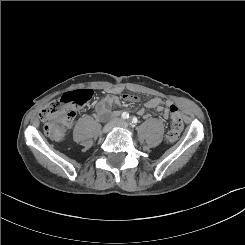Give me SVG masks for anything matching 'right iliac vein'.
<instances>
[{"mask_svg": "<svg viewBox=\"0 0 245 245\" xmlns=\"http://www.w3.org/2000/svg\"><path fill=\"white\" fill-rule=\"evenodd\" d=\"M118 125H119V121H118L117 119H114V120L108 122V123L104 126L102 132H103V133H108L113 127L118 126Z\"/></svg>", "mask_w": 245, "mask_h": 245, "instance_id": "63e3f726", "label": "right iliac vein"}]
</instances>
